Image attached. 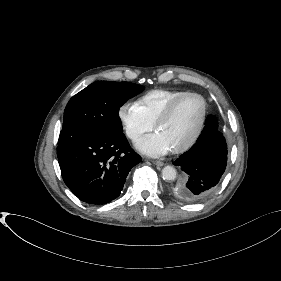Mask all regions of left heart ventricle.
<instances>
[{
	"mask_svg": "<svg viewBox=\"0 0 281 281\" xmlns=\"http://www.w3.org/2000/svg\"><path fill=\"white\" fill-rule=\"evenodd\" d=\"M202 104L197 97L182 100L170 117L156 129L170 149L186 143L194 134L201 118Z\"/></svg>",
	"mask_w": 281,
	"mask_h": 281,
	"instance_id": "left-heart-ventricle-1",
	"label": "left heart ventricle"
}]
</instances>
